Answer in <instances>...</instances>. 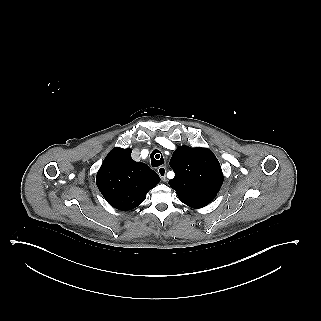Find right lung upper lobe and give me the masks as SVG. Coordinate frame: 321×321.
Wrapping results in <instances>:
<instances>
[{
	"mask_svg": "<svg viewBox=\"0 0 321 321\" xmlns=\"http://www.w3.org/2000/svg\"><path fill=\"white\" fill-rule=\"evenodd\" d=\"M159 182L155 171L133 161L131 149L118 147L106 156L96 176V184L106 201L122 211L139 206Z\"/></svg>",
	"mask_w": 321,
	"mask_h": 321,
	"instance_id": "cb5924a9",
	"label": "right lung upper lobe"
}]
</instances>
